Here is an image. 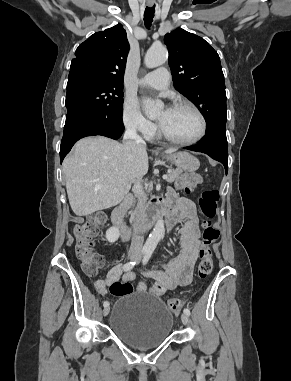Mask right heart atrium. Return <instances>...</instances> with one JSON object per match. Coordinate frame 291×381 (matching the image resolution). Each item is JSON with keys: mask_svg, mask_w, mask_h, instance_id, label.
Returning <instances> with one entry per match:
<instances>
[{"mask_svg": "<svg viewBox=\"0 0 291 381\" xmlns=\"http://www.w3.org/2000/svg\"><path fill=\"white\" fill-rule=\"evenodd\" d=\"M122 122L128 130L147 138L152 137L156 131L154 124L143 116L136 103L130 99L123 103Z\"/></svg>", "mask_w": 291, "mask_h": 381, "instance_id": "right-heart-atrium-1", "label": "right heart atrium"}]
</instances>
